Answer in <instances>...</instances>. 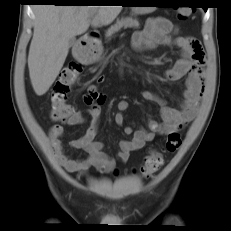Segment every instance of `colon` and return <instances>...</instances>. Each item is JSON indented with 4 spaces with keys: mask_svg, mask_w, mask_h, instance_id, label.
I'll return each mask as SVG.
<instances>
[{
    "mask_svg": "<svg viewBox=\"0 0 231 231\" xmlns=\"http://www.w3.org/2000/svg\"><path fill=\"white\" fill-rule=\"evenodd\" d=\"M190 8H183L178 11L179 20H186L191 15ZM83 72V65L79 62H70L65 66L54 85L51 95V119L54 121L66 122L75 112L68 103V97ZM181 136L174 131L168 134L161 150L151 151L146 157L145 163L140 167V173L144 177H150L156 173L164 163L165 153H174L181 146Z\"/></svg>",
    "mask_w": 231,
    "mask_h": 231,
    "instance_id": "5ec220e1",
    "label": "colon"
}]
</instances>
